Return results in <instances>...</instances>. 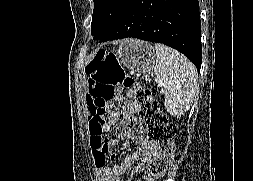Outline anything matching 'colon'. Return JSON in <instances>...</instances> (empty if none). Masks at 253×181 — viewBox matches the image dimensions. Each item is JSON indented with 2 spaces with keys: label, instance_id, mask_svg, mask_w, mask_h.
Segmentation results:
<instances>
[{
  "label": "colon",
  "instance_id": "5ec220e1",
  "mask_svg": "<svg viewBox=\"0 0 253 181\" xmlns=\"http://www.w3.org/2000/svg\"><path fill=\"white\" fill-rule=\"evenodd\" d=\"M94 55L86 68L91 88L88 101L93 117L104 122L107 104L116 95L117 88L133 87V113L139 121L140 129L155 143L158 150L157 156L148 164V179L156 181L170 166L175 148L173 138L177 128L168 122L149 89L144 85L135 84L131 77L123 74L113 54L107 53V50H94Z\"/></svg>",
  "mask_w": 253,
  "mask_h": 181
}]
</instances>
